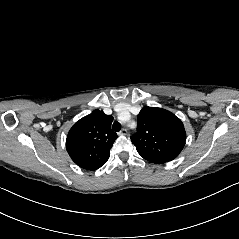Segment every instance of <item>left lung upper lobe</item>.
Instances as JSON below:
<instances>
[{"instance_id":"left-lung-upper-lobe-1","label":"left lung upper lobe","mask_w":239,"mask_h":239,"mask_svg":"<svg viewBox=\"0 0 239 239\" xmlns=\"http://www.w3.org/2000/svg\"><path fill=\"white\" fill-rule=\"evenodd\" d=\"M183 123L171 112L161 108H143L137 118V132L131 136L138 153L153 163L176 158L185 145Z\"/></svg>"}]
</instances>
